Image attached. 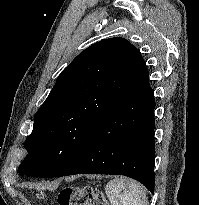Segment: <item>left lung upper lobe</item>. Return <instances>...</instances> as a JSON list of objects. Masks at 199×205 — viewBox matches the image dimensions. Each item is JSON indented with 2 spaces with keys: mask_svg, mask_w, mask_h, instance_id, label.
I'll return each mask as SVG.
<instances>
[{
  "mask_svg": "<svg viewBox=\"0 0 199 205\" xmlns=\"http://www.w3.org/2000/svg\"><path fill=\"white\" fill-rule=\"evenodd\" d=\"M141 61L138 49L120 37L104 39L81 52L58 76L35 114L19 174L50 178L65 170L128 92Z\"/></svg>",
  "mask_w": 199,
  "mask_h": 205,
  "instance_id": "obj_1",
  "label": "left lung upper lobe"
}]
</instances>
